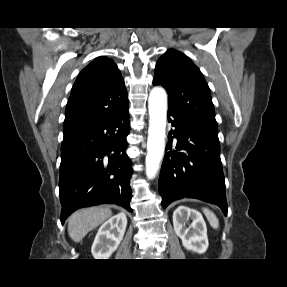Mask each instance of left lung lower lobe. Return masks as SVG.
<instances>
[{
	"instance_id": "1",
	"label": "left lung lower lobe",
	"mask_w": 287,
	"mask_h": 287,
	"mask_svg": "<svg viewBox=\"0 0 287 287\" xmlns=\"http://www.w3.org/2000/svg\"><path fill=\"white\" fill-rule=\"evenodd\" d=\"M168 121L174 129L168 135L158 183L162 206L195 198L216 204L227 215L219 139L172 109H168Z\"/></svg>"
}]
</instances>
